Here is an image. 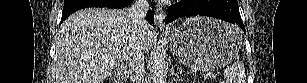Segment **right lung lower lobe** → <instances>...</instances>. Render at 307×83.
<instances>
[{
	"label": "right lung lower lobe",
	"instance_id": "98d812e1",
	"mask_svg": "<svg viewBox=\"0 0 307 83\" xmlns=\"http://www.w3.org/2000/svg\"><path fill=\"white\" fill-rule=\"evenodd\" d=\"M133 0H65L61 22L70 14L77 10L87 7H109L124 8L132 3ZM146 20L150 23L154 22V14L148 11Z\"/></svg>",
	"mask_w": 307,
	"mask_h": 83
}]
</instances>
